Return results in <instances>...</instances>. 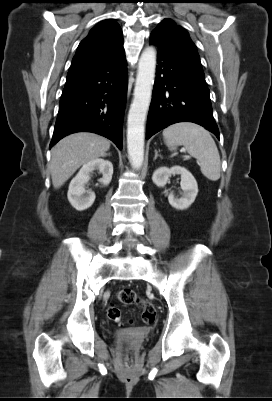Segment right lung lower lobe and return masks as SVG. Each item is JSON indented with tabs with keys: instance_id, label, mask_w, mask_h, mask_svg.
Returning <instances> with one entry per match:
<instances>
[{
	"instance_id": "right-lung-lower-lobe-1",
	"label": "right lung lower lobe",
	"mask_w": 272,
	"mask_h": 401,
	"mask_svg": "<svg viewBox=\"0 0 272 401\" xmlns=\"http://www.w3.org/2000/svg\"><path fill=\"white\" fill-rule=\"evenodd\" d=\"M127 95L124 50L100 66L66 80L50 148L63 137L93 132L122 148V124Z\"/></svg>"
}]
</instances>
